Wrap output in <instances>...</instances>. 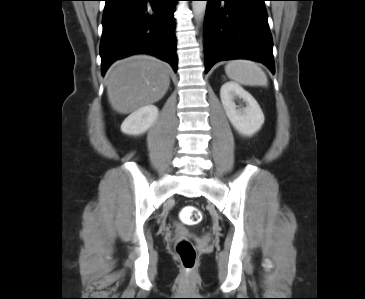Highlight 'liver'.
<instances>
[{
  "label": "liver",
  "mask_w": 365,
  "mask_h": 299,
  "mask_svg": "<svg viewBox=\"0 0 365 299\" xmlns=\"http://www.w3.org/2000/svg\"><path fill=\"white\" fill-rule=\"evenodd\" d=\"M170 67L140 55L116 62L106 74L108 100L120 114H129L162 99L170 85Z\"/></svg>",
  "instance_id": "liver-1"
}]
</instances>
